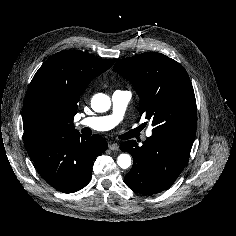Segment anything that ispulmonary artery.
I'll use <instances>...</instances> for the list:
<instances>
[{
	"mask_svg": "<svg viewBox=\"0 0 236 236\" xmlns=\"http://www.w3.org/2000/svg\"><path fill=\"white\" fill-rule=\"evenodd\" d=\"M131 100V93L126 90H116L112 95V111L108 115L88 117L80 120L78 125L88 126L94 130L107 131L118 125L126 112ZM146 136H152V131H146Z\"/></svg>",
	"mask_w": 236,
	"mask_h": 236,
	"instance_id": "e3ab8cb5",
	"label": "pulmonary artery"
}]
</instances>
